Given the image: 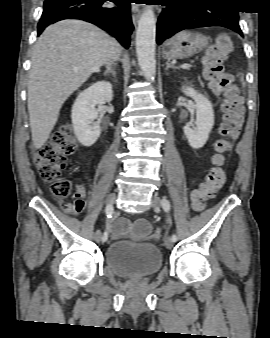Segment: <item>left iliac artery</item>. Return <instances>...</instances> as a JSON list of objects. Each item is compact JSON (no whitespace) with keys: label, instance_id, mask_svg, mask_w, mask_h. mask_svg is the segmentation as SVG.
Returning <instances> with one entry per match:
<instances>
[{"label":"left iliac artery","instance_id":"obj_1","mask_svg":"<svg viewBox=\"0 0 270 338\" xmlns=\"http://www.w3.org/2000/svg\"><path fill=\"white\" fill-rule=\"evenodd\" d=\"M161 205H162V208H163L166 212H168V211L170 210V202H169L167 199L163 198L162 201H161ZM171 240H172L173 242H176V241H177V235H176V234H173L172 237H171Z\"/></svg>","mask_w":270,"mask_h":338}]
</instances>
